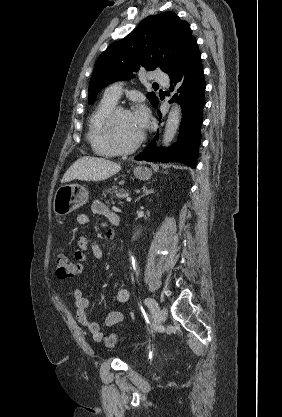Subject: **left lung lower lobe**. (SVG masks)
Returning a JSON list of instances; mask_svg holds the SVG:
<instances>
[{
  "mask_svg": "<svg viewBox=\"0 0 282 417\" xmlns=\"http://www.w3.org/2000/svg\"><path fill=\"white\" fill-rule=\"evenodd\" d=\"M166 73L171 79V91H174V87L177 89L171 102L177 101L182 107L180 140L171 148H158L157 133L153 141L135 159L163 163L180 162L195 168L205 105V79L196 39L190 41L178 54ZM157 105L158 103L154 107Z\"/></svg>",
  "mask_w": 282,
  "mask_h": 417,
  "instance_id": "obj_1",
  "label": "left lung lower lobe"
}]
</instances>
